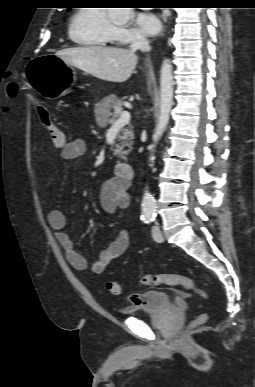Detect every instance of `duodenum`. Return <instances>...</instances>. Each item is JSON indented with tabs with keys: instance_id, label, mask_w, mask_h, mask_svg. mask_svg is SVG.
I'll use <instances>...</instances> for the list:
<instances>
[{
	"instance_id": "1",
	"label": "duodenum",
	"mask_w": 255,
	"mask_h": 387,
	"mask_svg": "<svg viewBox=\"0 0 255 387\" xmlns=\"http://www.w3.org/2000/svg\"><path fill=\"white\" fill-rule=\"evenodd\" d=\"M115 173L121 180L128 183L134 176V167L131 162L123 161L115 166Z\"/></svg>"
}]
</instances>
